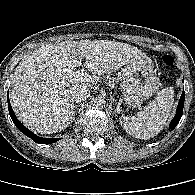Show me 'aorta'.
I'll list each match as a JSON object with an SVG mask.
<instances>
[{"instance_id": "obj_1", "label": "aorta", "mask_w": 195, "mask_h": 195, "mask_svg": "<svg viewBox=\"0 0 195 195\" xmlns=\"http://www.w3.org/2000/svg\"><path fill=\"white\" fill-rule=\"evenodd\" d=\"M96 109H103L105 107V101L101 98L95 99L93 103Z\"/></svg>"}]
</instances>
